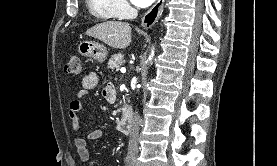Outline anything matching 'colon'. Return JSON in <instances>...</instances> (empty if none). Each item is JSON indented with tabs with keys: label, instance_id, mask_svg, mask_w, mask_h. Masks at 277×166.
<instances>
[{
	"label": "colon",
	"instance_id": "obj_1",
	"mask_svg": "<svg viewBox=\"0 0 277 166\" xmlns=\"http://www.w3.org/2000/svg\"><path fill=\"white\" fill-rule=\"evenodd\" d=\"M65 70L69 74L76 76L80 75L82 73V63L80 57L77 55L71 56L65 65Z\"/></svg>",
	"mask_w": 277,
	"mask_h": 166
}]
</instances>
